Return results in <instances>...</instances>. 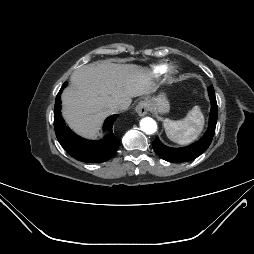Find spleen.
<instances>
[{
  "label": "spleen",
  "instance_id": "obj_1",
  "mask_svg": "<svg viewBox=\"0 0 254 254\" xmlns=\"http://www.w3.org/2000/svg\"><path fill=\"white\" fill-rule=\"evenodd\" d=\"M167 137L180 145H187L197 139L203 130L204 116L198 106H194L181 120L164 119Z\"/></svg>",
  "mask_w": 254,
  "mask_h": 254
}]
</instances>
